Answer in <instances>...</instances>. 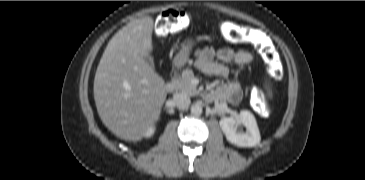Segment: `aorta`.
<instances>
[{"label":"aorta","instance_id":"aorta-1","mask_svg":"<svg viewBox=\"0 0 365 180\" xmlns=\"http://www.w3.org/2000/svg\"><path fill=\"white\" fill-rule=\"evenodd\" d=\"M202 106L199 103H195L191 106V113L193 115H201L202 114Z\"/></svg>","mask_w":365,"mask_h":180}]
</instances>
